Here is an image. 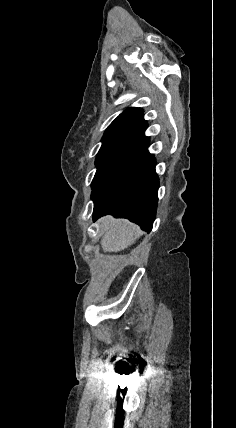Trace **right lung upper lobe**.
Segmentation results:
<instances>
[{"mask_svg":"<svg viewBox=\"0 0 236 428\" xmlns=\"http://www.w3.org/2000/svg\"><path fill=\"white\" fill-rule=\"evenodd\" d=\"M143 116L140 108H128L122 112L106 129L99 152L146 143L148 138L144 132L147 122Z\"/></svg>","mask_w":236,"mask_h":428,"instance_id":"obj_1","label":"right lung upper lobe"}]
</instances>
